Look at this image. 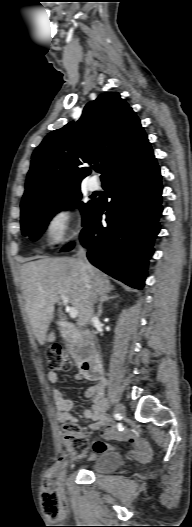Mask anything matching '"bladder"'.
<instances>
[{"label":"bladder","mask_w":192,"mask_h":527,"mask_svg":"<svg viewBox=\"0 0 192 527\" xmlns=\"http://www.w3.org/2000/svg\"><path fill=\"white\" fill-rule=\"evenodd\" d=\"M123 462L122 455L114 451L96 453L91 458L90 470L95 474H106L118 469Z\"/></svg>","instance_id":"31cf9c89"}]
</instances>
